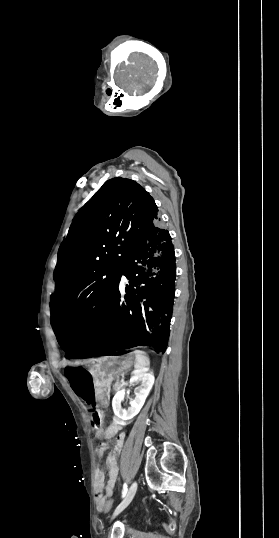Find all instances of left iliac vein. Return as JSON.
I'll list each match as a JSON object with an SVG mask.
<instances>
[{"label":"left iliac vein","instance_id":"1","mask_svg":"<svg viewBox=\"0 0 279 538\" xmlns=\"http://www.w3.org/2000/svg\"><path fill=\"white\" fill-rule=\"evenodd\" d=\"M136 490H137V482L134 481L131 484L125 498L123 499V501L118 505V507L114 511L112 518H114L115 516L120 514L130 504V502L132 501V499H133V497H134V495L136 493Z\"/></svg>","mask_w":279,"mask_h":538}]
</instances>
